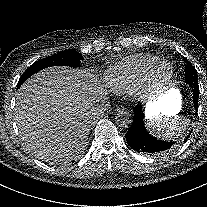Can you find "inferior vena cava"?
<instances>
[{"mask_svg":"<svg viewBox=\"0 0 207 207\" xmlns=\"http://www.w3.org/2000/svg\"><path fill=\"white\" fill-rule=\"evenodd\" d=\"M96 116H98V115H97V112H95V114H94V117H96Z\"/></svg>","mask_w":207,"mask_h":207,"instance_id":"obj_1","label":"inferior vena cava"}]
</instances>
